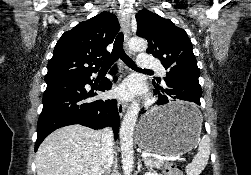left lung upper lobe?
Instances as JSON below:
<instances>
[{
  "instance_id": "obj_1",
  "label": "left lung upper lobe",
  "mask_w": 251,
  "mask_h": 175,
  "mask_svg": "<svg viewBox=\"0 0 251 175\" xmlns=\"http://www.w3.org/2000/svg\"><path fill=\"white\" fill-rule=\"evenodd\" d=\"M136 20L137 36L148 41L147 53L158 58L168 70L164 80L173 75L198 80L200 71L192 51V43L184 29L147 9L138 11ZM156 80L160 82V78Z\"/></svg>"
}]
</instances>
